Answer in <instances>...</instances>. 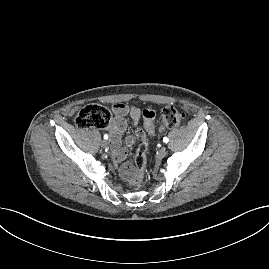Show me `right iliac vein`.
<instances>
[{
	"instance_id": "1",
	"label": "right iliac vein",
	"mask_w": 269,
	"mask_h": 269,
	"mask_svg": "<svg viewBox=\"0 0 269 269\" xmlns=\"http://www.w3.org/2000/svg\"><path fill=\"white\" fill-rule=\"evenodd\" d=\"M101 146H102L103 148H106V147L108 146V141H106V140H102V141H101Z\"/></svg>"
}]
</instances>
